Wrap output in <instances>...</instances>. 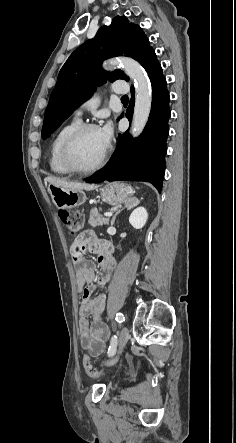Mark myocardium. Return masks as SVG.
Masks as SVG:
<instances>
[{"mask_svg": "<svg viewBox=\"0 0 236 443\" xmlns=\"http://www.w3.org/2000/svg\"><path fill=\"white\" fill-rule=\"evenodd\" d=\"M99 129V126L94 123H83L75 128L64 140L61 147V160L64 166L71 172L80 175L92 174L100 170L107 161L110 147L107 146L106 150L98 160V162L89 168H81L77 166L72 159V148L75 142L88 130Z\"/></svg>", "mask_w": 236, "mask_h": 443, "instance_id": "myocardium-1", "label": "myocardium"}]
</instances>
